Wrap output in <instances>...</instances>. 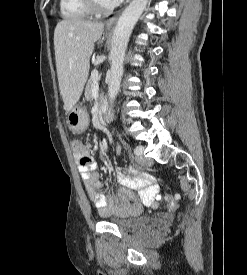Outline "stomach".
<instances>
[{
  "label": "stomach",
  "mask_w": 247,
  "mask_h": 275,
  "mask_svg": "<svg viewBox=\"0 0 247 275\" xmlns=\"http://www.w3.org/2000/svg\"><path fill=\"white\" fill-rule=\"evenodd\" d=\"M69 128L75 132L84 131L89 125V117L85 109L81 106H74L68 113Z\"/></svg>",
  "instance_id": "obj_1"
}]
</instances>
